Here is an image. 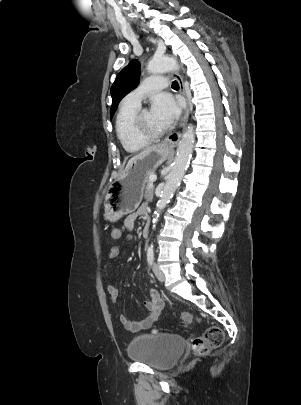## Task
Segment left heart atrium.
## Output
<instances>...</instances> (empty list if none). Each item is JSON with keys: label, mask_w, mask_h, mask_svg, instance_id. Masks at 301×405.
<instances>
[{"label": "left heart atrium", "mask_w": 301, "mask_h": 405, "mask_svg": "<svg viewBox=\"0 0 301 405\" xmlns=\"http://www.w3.org/2000/svg\"><path fill=\"white\" fill-rule=\"evenodd\" d=\"M151 111L167 127L178 118L181 103L169 93H161L154 97Z\"/></svg>", "instance_id": "39dd6f15"}]
</instances>
